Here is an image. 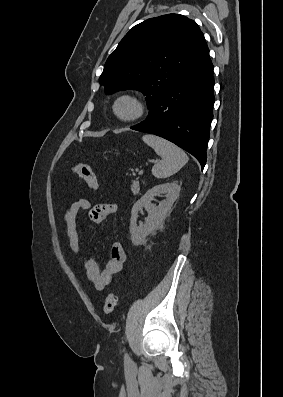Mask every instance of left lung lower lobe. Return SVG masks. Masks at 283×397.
I'll return each instance as SVG.
<instances>
[{"instance_id": "obj_1", "label": "left lung lower lobe", "mask_w": 283, "mask_h": 397, "mask_svg": "<svg viewBox=\"0 0 283 397\" xmlns=\"http://www.w3.org/2000/svg\"><path fill=\"white\" fill-rule=\"evenodd\" d=\"M213 64L209 56L170 87L131 129L163 137L192 154L202 169L213 120Z\"/></svg>"}]
</instances>
